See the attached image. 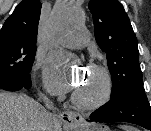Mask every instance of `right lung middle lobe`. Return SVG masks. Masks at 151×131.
I'll return each instance as SVG.
<instances>
[{"mask_svg":"<svg viewBox=\"0 0 151 131\" xmlns=\"http://www.w3.org/2000/svg\"><path fill=\"white\" fill-rule=\"evenodd\" d=\"M36 50L20 43L0 48V89L17 91L30 79Z\"/></svg>","mask_w":151,"mask_h":131,"instance_id":"right-lung-middle-lobe-1","label":"right lung middle lobe"}]
</instances>
